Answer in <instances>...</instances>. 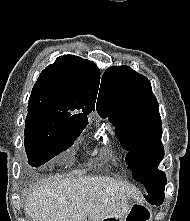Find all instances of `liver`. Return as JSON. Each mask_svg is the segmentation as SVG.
I'll return each mask as SVG.
<instances>
[{
	"label": "liver",
	"instance_id": "6515ba94",
	"mask_svg": "<svg viewBox=\"0 0 190 221\" xmlns=\"http://www.w3.org/2000/svg\"><path fill=\"white\" fill-rule=\"evenodd\" d=\"M135 188L108 176L49 177L25 200V213L33 221H101L124 217Z\"/></svg>",
	"mask_w": 190,
	"mask_h": 221
}]
</instances>
